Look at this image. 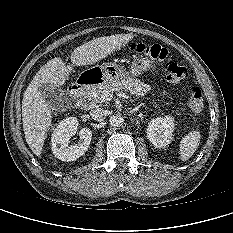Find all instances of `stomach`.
Segmentation results:
<instances>
[{"label":"stomach","instance_id":"0dacf381","mask_svg":"<svg viewBox=\"0 0 233 233\" xmlns=\"http://www.w3.org/2000/svg\"><path fill=\"white\" fill-rule=\"evenodd\" d=\"M154 71L155 65L147 58L134 59L130 65V71L116 63L107 62L85 71L83 75L92 78L95 83L126 80L129 77L139 76L146 71Z\"/></svg>","mask_w":233,"mask_h":233}]
</instances>
